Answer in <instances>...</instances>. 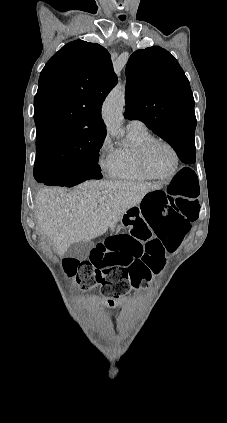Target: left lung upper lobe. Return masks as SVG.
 <instances>
[{"mask_svg":"<svg viewBox=\"0 0 227 423\" xmlns=\"http://www.w3.org/2000/svg\"><path fill=\"white\" fill-rule=\"evenodd\" d=\"M126 119L145 123L172 145L194 139L196 117L189 81L167 50L153 46L135 51L126 66Z\"/></svg>","mask_w":227,"mask_h":423,"instance_id":"left-lung-upper-lobe-1","label":"left lung upper lobe"}]
</instances>
